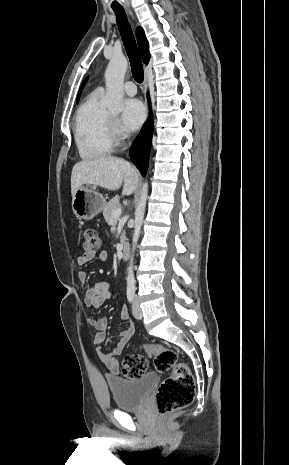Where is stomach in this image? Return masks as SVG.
I'll list each match as a JSON object with an SVG mask.
<instances>
[{"instance_id":"1","label":"stomach","mask_w":289,"mask_h":465,"mask_svg":"<svg viewBox=\"0 0 289 465\" xmlns=\"http://www.w3.org/2000/svg\"><path fill=\"white\" fill-rule=\"evenodd\" d=\"M106 205L102 194L87 186H81L72 197V210L76 217L91 220L97 216Z\"/></svg>"}]
</instances>
